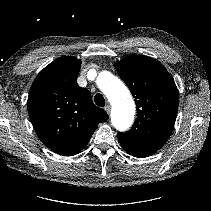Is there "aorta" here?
<instances>
[{
  "mask_svg": "<svg viewBox=\"0 0 211 211\" xmlns=\"http://www.w3.org/2000/svg\"><path fill=\"white\" fill-rule=\"evenodd\" d=\"M97 85L113 104L112 124L119 131H126L133 123L135 104L128 88L113 74L102 71Z\"/></svg>",
  "mask_w": 211,
  "mask_h": 211,
  "instance_id": "762f6f07",
  "label": "aorta"
}]
</instances>
